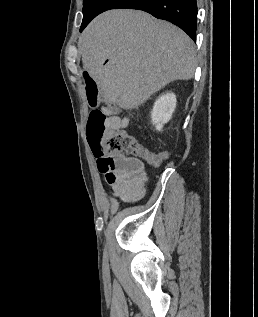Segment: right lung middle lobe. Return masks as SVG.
I'll return each mask as SVG.
<instances>
[{
    "label": "right lung middle lobe",
    "mask_w": 258,
    "mask_h": 317,
    "mask_svg": "<svg viewBox=\"0 0 258 317\" xmlns=\"http://www.w3.org/2000/svg\"><path fill=\"white\" fill-rule=\"evenodd\" d=\"M89 0H83V4L85 5Z\"/></svg>",
    "instance_id": "1"
}]
</instances>
